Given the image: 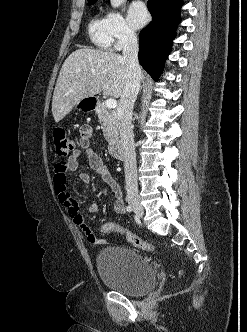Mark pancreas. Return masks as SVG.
<instances>
[{
    "label": "pancreas",
    "mask_w": 247,
    "mask_h": 332,
    "mask_svg": "<svg viewBox=\"0 0 247 332\" xmlns=\"http://www.w3.org/2000/svg\"><path fill=\"white\" fill-rule=\"evenodd\" d=\"M96 113L99 119V122L102 126V131L105 139L112 143L118 141V123L116 119V113L102 103L97 109Z\"/></svg>",
    "instance_id": "cf45deb5"
}]
</instances>
